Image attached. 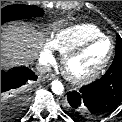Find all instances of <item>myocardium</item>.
<instances>
[{
    "mask_svg": "<svg viewBox=\"0 0 122 122\" xmlns=\"http://www.w3.org/2000/svg\"><path fill=\"white\" fill-rule=\"evenodd\" d=\"M103 40H107L110 42V51H109L107 57L105 58V60L96 69H94L92 72H90L87 75L80 76V77L72 75L68 69V65H69L70 61L72 59H74L75 57L81 55L90 46H92L100 41H103ZM114 50H115L114 41L110 37L105 36V35L95 37V38L89 39V40L81 43L80 45L76 46L72 50L68 51L62 57V71H63L65 78L74 85H85V84H88V83L94 81L96 78H98L100 76V74L109 65V63L113 57Z\"/></svg>",
    "mask_w": 122,
    "mask_h": 122,
    "instance_id": "1",
    "label": "myocardium"
}]
</instances>
